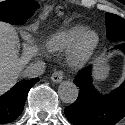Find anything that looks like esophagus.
I'll return each instance as SVG.
<instances>
[{
	"label": "esophagus",
	"mask_w": 125,
	"mask_h": 125,
	"mask_svg": "<svg viewBox=\"0 0 125 125\" xmlns=\"http://www.w3.org/2000/svg\"><path fill=\"white\" fill-rule=\"evenodd\" d=\"M63 78H64V72L62 70L55 71L51 76V80L54 83H60L63 80Z\"/></svg>",
	"instance_id": "obj_1"
}]
</instances>
